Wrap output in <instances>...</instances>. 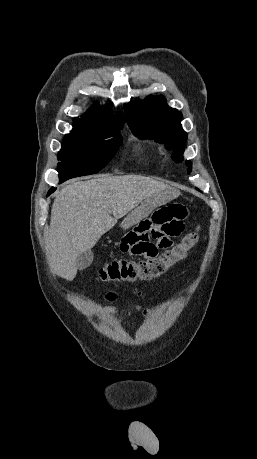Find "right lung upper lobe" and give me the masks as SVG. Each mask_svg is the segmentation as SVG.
I'll return each instance as SVG.
<instances>
[{"label": "right lung upper lobe", "mask_w": 257, "mask_h": 459, "mask_svg": "<svg viewBox=\"0 0 257 459\" xmlns=\"http://www.w3.org/2000/svg\"><path fill=\"white\" fill-rule=\"evenodd\" d=\"M111 110L107 107H92L81 118H76L74 125L80 126L99 132L120 130L123 128L125 118L123 112L117 115L110 114Z\"/></svg>", "instance_id": "right-lung-upper-lobe-1"}]
</instances>
